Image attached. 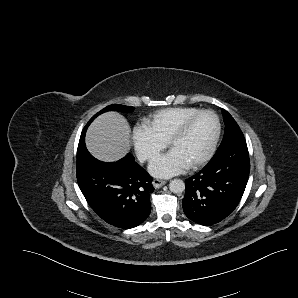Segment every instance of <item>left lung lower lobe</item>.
<instances>
[{"mask_svg": "<svg viewBox=\"0 0 298 298\" xmlns=\"http://www.w3.org/2000/svg\"><path fill=\"white\" fill-rule=\"evenodd\" d=\"M250 171L245 140L217 152L196 175L185 181L182 206L195 223L210 226L227 217L238 205Z\"/></svg>", "mask_w": 298, "mask_h": 298, "instance_id": "1", "label": "left lung lower lobe"}]
</instances>
